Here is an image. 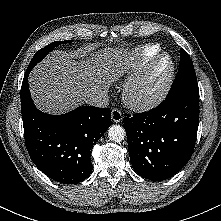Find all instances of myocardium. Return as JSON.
<instances>
[{
  "label": "myocardium",
  "mask_w": 221,
  "mask_h": 221,
  "mask_svg": "<svg viewBox=\"0 0 221 221\" xmlns=\"http://www.w3.org/2000/svg\"><path fill=\"white\" fill-rule=\"evenodd\" d=\"M167 58L170 63L168 75L162 85L149 96H142L139 93L141 86L145 83L155 65L162 59ZM176 76V64L168 53H158L146 66L134 76L124 88V101L136 111H147L159 105L167 96Z\"/></svg>",
  "instance_id": "1"
}]
</instances>
